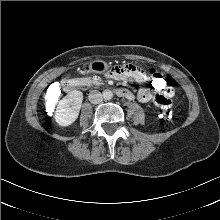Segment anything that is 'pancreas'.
<instances>
[{
  "label": "pancreas",
  "mask_w": 220,
  "mask_h": 220,
  "mask_svg": "<svg viewBox=\"0 0 220 220\" xmlns=\"http://www.w3.org/2000/svg\"><path fill=\"white\" fill-rule=\"evenodd\" d=\"M88 82H90V83H100V82H98L96 80H88Z\"/></svg>",
  "instance_id": "obj_1"
}]
</instances>
